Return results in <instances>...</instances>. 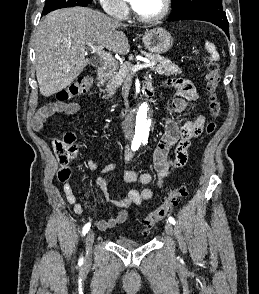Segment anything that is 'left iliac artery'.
Listing matches in <instances>:
<instances>
[{
    "label": "left iliac artery",
    "instance_id": "obj_1",
    "mask_svg": "<svg viewBox=\"0 0 259 294\" xmlns=\"http://www.w3.org/2000/svg\"><path fill=\"white\" fill-rule=\"evenodd\" d=\"M143 144L145 145L146 144V142H143ZM168 221L172 224V225H175V219L172 217V216H170L169 218H168Z\"/></svg>",
    "mask_w": 259,
    "mask_h": 294
}]
</instances>
